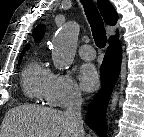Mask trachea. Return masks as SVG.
Listing matches in <instances>:
<instances>
[{"label":"trachea","instance_id":"3493384b","mask_svg":"<svg viewBox=\"0 0 144 137\" xmlns=\"http://www.w3.org/2000/svg\"><path fill=\"white\" fill-rule=\"evenodd\" d=\"M82 3L95 43L99 48H103L107 41L103 20L92 0H82Z\"/></svg>","mask_w":144,"mask_h":137}]
</instances>
